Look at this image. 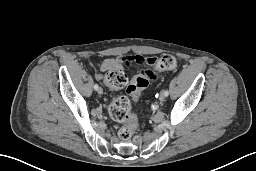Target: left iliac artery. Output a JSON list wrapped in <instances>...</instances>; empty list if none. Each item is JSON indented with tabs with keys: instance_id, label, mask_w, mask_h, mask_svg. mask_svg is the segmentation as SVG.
Listing matches in <instances>:
<instances>
[{
	"instance_id": "44dca946",
	"label": "left iliac artery",
	"mask_w": 256,
	"mask_h": 171,
	"mask_svg": "<svg viewBox=\"0 0 256 171\" xmlns=\"http://www.w3.org/2000/svg\"><path fill=\"white\" fill-rule=\"evenodd\" d=\"M163 93H164L165 96L169 95V91L168 90L163 91Z\"/></svg>"
}]
</instances>
